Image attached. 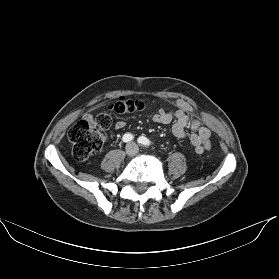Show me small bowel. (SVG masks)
<instances>
[{"label":"small bowel","instance_id":"obj_1","mask_svg":"<svg viewBox=\"0 0 279 279\" xmlns=\"http://www.w3.org/2000/svg\"><path fill=\"white\" fill-rule=\"evenodd\" d=\"M85 119L93 121L94 118L90 114H86ZM153 121L159 124L168 125L173 123L172 131L175 137L185 139L186 127L189 126L191 134L190 143L194 147L197 154H202L206 149L204 141L210 140L209 129L191 115V107L183 100L175 102L174 110L160 109L154 116ZM125 122L119 121L115 124L114 129L120 130L125 127Z\"/></svg>","mask_w":279,"mask_h":279}]
</instances>
